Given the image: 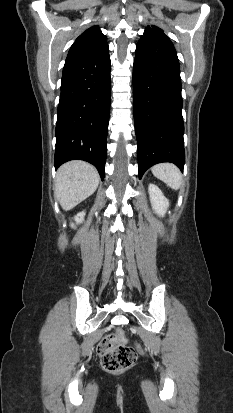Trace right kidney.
<instances>
[{
  "instance_id": "obj_1",
  "label": "right kidney",
  "mask_w": 233,
  "mask_h": 413,
  "mask_svg": "<svg viewBox=\"0 0 233 413\" xmlns=\"http://www.w3.org/2000/svg\"><path fill=\"white\" fill-rule=\"evenodd\" d=\"M84 216H85V212H79L75 217L74 220L76 222V224L81 223L84 220ZM71 227H74V223L71 224Z\"/></svg>"
}]
</instances>
